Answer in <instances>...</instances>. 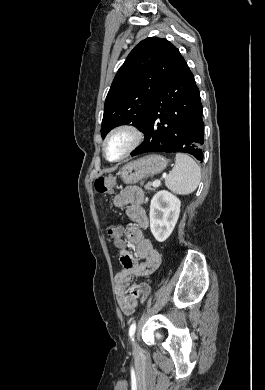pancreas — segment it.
<instances>
[{"mask_svg": "<svg viewBox=\"0 0 265 390\" xmlns=\"http://www.w3.org/2000/svg\"><path fill=\"white\" fill-rule=\"evenodd\" d=\"M154 188H156V187L153 185V183H148V184L145 185V189H146L147 191H151V190H153Z\"/></svg>", "mask_w": 265, "mask_h": 390, "instance_id": "obj_1", "label": "pancreas"}]
</instances>
